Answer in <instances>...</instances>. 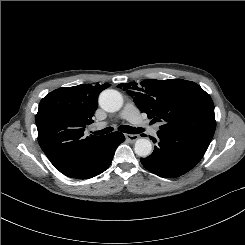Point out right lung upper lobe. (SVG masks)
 Here are the masks:
<instances>
[{
	"instance_id": "obj_1",
	"label": "right lung upper lobe",
	"mask_w": 245,
	"mask_h": 245,
	"mask_svg": "<svg viewBox=\"0 0 245 245\" xmlns=\"http://www.w3.org/2000/svg\"><path fill=\"white\" fill-rule=\"evenodd\" d=\"M110 84H83L56 89L39 104L35 121L38 142L50 162L63 174L86 166L105 136L85 137L98 106L99 93Z\"/></svg>"
}]
</instances>
